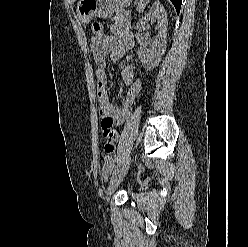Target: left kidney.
Returning a JSON list of instances; mask_svg holds the SVG:
<instances>
[{"instance_id":"left-kidney-1","label":"left kidney","mask_w":248,"mask_h":247,"mask_svg":"<svg viewBox=\"0 0 248 247\" xmlns=\"http://www.w3.org/2000/svg\"><path fill=\"white\" fill-rule=\"evenodd\" d=\"M149 21H157L158 36L153 41L151 49L140 47L137 51L138 58L146 70H151L159 64L166 49L168 18L160 2L152 5L149 13L137 23V28L145 30Z\"/></svg>"}]
</instances>
